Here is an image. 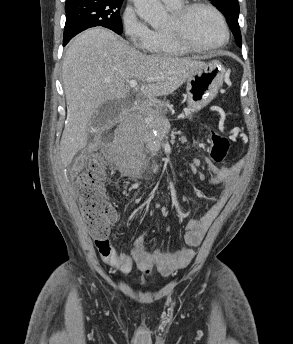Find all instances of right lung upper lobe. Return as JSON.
Listing matches in <instances>:
<instances>
[{
	"label": "right lung upper lobe",
	"mask_w": 293,
	"mask_h": 344,
	"mask_svg": "<svg viewBox=\"0 0 293 344\" xmlns=\"http://www.w3.org/2000/svg\"><path fill=\"white\" fill-rule=\"evenodd\" d=\"M76 1H79V0H66V3L76 2Z\"/></svg>",
	"instance_id": "obj_1"
}]
</instances>
